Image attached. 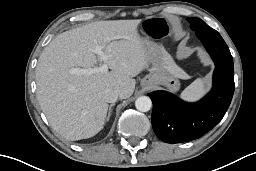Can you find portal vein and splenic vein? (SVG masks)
Returning a JSON list of instances; mask_svg holds the SVG:
<instances>
[{
  "instance_id": "18ae733b",
  "label": "portal vein and splenic vein",
  "mask_w": 256,
  "mask_h": 171,
  "mask_svg": "<svg viewBox=\"0 0 256 171\" xmlns=\"http://www.w3.org/2000/svg\"><path fill=\"white\" fill-rule=\"evenodd\" d=\"M95 52L100 56V59L103 61V64L100 67L97 68H91L88 70L85 69H79V68H73L71 69L72 74H93L96 72H107L108 71V56L103 52V47L102 46H96L95 47Z\"/></svg>"
}]
</instances>
